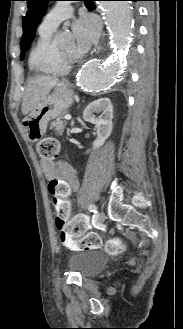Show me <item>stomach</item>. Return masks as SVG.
<instances>
[{"mask_svg":"<svg viewBox=\"0 0 183 329\" xmlns=\"http://www.w3.org/2000/svg\"><path fill=\"white\" fill-rule=\"evenodd\" d=\"M73 103V91L64 82L45 96L23 119V128L31 142L39 141L46 133L48 122L64 114Z\"/></svg>","mask_w":183,"mask_h":329,"instance_id":"1","label":"stomach"}]
</instances>
